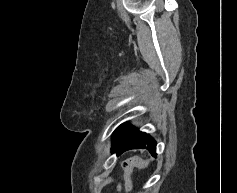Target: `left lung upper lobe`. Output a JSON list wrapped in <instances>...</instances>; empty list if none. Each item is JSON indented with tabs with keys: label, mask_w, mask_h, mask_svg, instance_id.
Masks as SVG:
<instances>
[{
	"label": "left lung upper lobe",
	"mask_w": 237,
	"mask_h": 193,
	"mask_svg": "<svg viewBox=\"0 0 237 193\" xmlns=\"http://www.w3.org/2000/svg\"><path fill=\"white\" fill-rule=\"evenodd\" d=\"M127 126H128V123H123L114 131L113 137H112L113 144H115L119 140V138L121 137V135L123 134Z\"/></svg>",
	"instance_id": "left-lung-upper-lobe-1"
}]
</instances>
